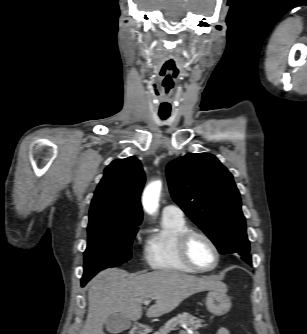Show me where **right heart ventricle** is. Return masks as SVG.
<instances>
[{
    "instance_id": "obj_1",
    "label": "right heart ventricle",
    "mask_w": 307,
    "mask_h": 334,
    "mask_svg": "<svg viewBox=\"0 0 307 334\" xmlns=\"http://www.w3.org/2000/svg\"><path fill=\"white\" fill-rule=\"evenodd\" d=\"M189 229L184 219L162 218L161 227L150 234L144 247L147 265L158 271L171 273H196L181 259L177 242L179 236Z\"/></svg>"
}]
</instances>
